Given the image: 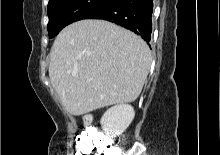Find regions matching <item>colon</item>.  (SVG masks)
<instances>
[{
    "label": "colon",
    "mask_w": 220,
    "mask_h": 155,
    "mask_svg": "<svg viewBox=\"0 0 220 155\" xmlns=\"http://www.w3.org/2000/svg\"><path fill=\"white\" fill-rule=\"evenodd\" d=\"M79 155H112L113 145L106 142L97 132H88L75 144Z\"/></svg>",
    "instance_id": "1"
}]
</instances>
